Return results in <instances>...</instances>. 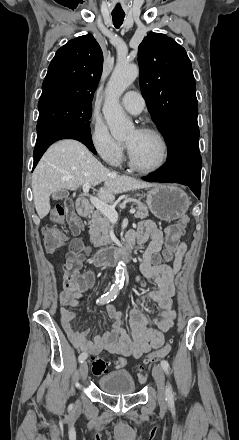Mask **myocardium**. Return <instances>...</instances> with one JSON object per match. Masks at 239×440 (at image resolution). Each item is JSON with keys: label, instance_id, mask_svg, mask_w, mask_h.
Masks as SVG:
<instances>
[{"label": "myocardium", "instance_id": "1", "mask_svg": "<svg viewBox=\"0 0 239 440\" xmlns=\"http://www.w3.org/2000/svg\"><path fill=\"white\" fill-rule=\"evenodd\" d=\"M138 131L154 135V136H156L160 140V142L162 144V147H163V157H162L160 163L157 166H155L153 168H143V167H140L136 163L135 158H134V156H133L129 146L127 145V153H128V163H129V166L131 167V169H133L134 171H136L138 173H141V174H154V173H157L161 169H163L164 166L168 162V159H169V156H170V145H169V142H168L166 136L161 131H159L156 128L145 126V127L139 128Z\"/></svg>", "mask_w": 239, "mask_h": 440}]
</instances>
